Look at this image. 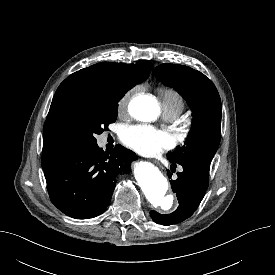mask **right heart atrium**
<instances>
[{
  "mask_svg": "<svg viewBox=\"0 0 275 275\" xmlns=\"http://www.w3.org/2000/svg\"><path fill=\"white\" fill-rule=\"evenodd\" d=\"M138 90V87H134L126 91L118 101L117 109L119 113H123L126 111L128 103L134 93Z\"/></svg>",
  "mask_w": 275,
  "mask_h": 275,
  "instance_id": "right-heart-atrium-1",
  "label": "right heart atrium"
}]
</instances>
